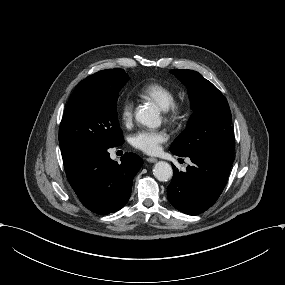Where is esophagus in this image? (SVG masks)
<instances>
[{
  "label": "esophagus",
  "instance_id": "esophagus-1",
  "mask_svg": "<svg viewBox=\"0 0 285 285\" xmlns=\"http://www.w3.org/2000/svg\"><path fill=\"white\" fill-rule=\"evenodd\" d=\"M147 161L150 162V163H154V162L157 161V159L154 158V157H149V158H147Z\"/></svg>",
  "mask_w": 285,
  "mask_h": 285
}]
</instances>
